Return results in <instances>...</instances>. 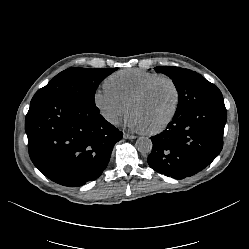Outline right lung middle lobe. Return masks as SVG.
<instances>
[{"instance_id":"1","label":"right lung middle lobe","mask_w":249,"mask_h":249,"mask_svg":"<svg viewBox=\"0 0 249 249\" xmlns=\"http://www.w3.org/2000/svg\"><path fill=\"white\" fill-rule=\"evenodd\" d=\"M117 68H69L56 75L33 96L31 103L46 99L73 98L95 106V92L99 83Z\"/></svg>"}]
</instances>
